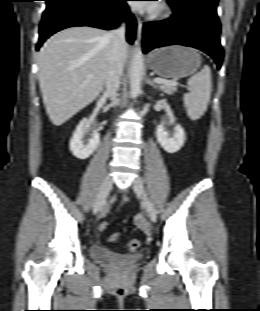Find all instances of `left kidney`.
Segmentation results:
<instances>
[{"label":"left kidney","mask_w":260,"mask_h":311,"mask_svg":"<svg viewBox=\"0 0 260 311\" xmlns=\"http://www.w3.org/2000/svg\"><path fill=\"white\" fill-rule=\"evenodd\" d=\"M157 140L162 148L168 153H175L184 145L186 136L183 128L176 125L172 136L159 125L156 130Z\"/></svg>","instance_id":"5707ae66"}]
</instances>
